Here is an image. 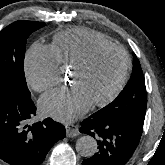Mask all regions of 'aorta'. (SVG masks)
<instances>
[{
    "label": "aorta",
    "mask_w": 165,
    "mask_h": 165,
    "mask_svg": "<svg viewBox=\"0 0 165 165\" xmlns=\"http://www.w3.org/2000/svg\"><path fill=\"white\" fill-rule=\"evenodd\" d=\"M76 151L81 156L91 157L97 151V142L92 136L84 135L77 140Z\"/></svg>",
    "instance_id": "762f6f07"
}]
</instances>
